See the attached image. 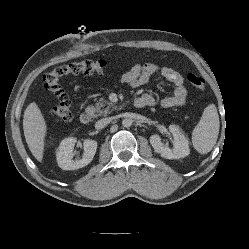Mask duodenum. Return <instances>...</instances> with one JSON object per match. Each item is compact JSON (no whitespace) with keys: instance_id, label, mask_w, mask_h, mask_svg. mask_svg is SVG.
Returning <instances> with one entry per match:
<instances>
[{"instance_id":"1","label":"duodenum","mask_w":249,"mask_h":249,"mask_svg":"<svg viewBox=\"0 0 249 249\" xmlns=\"http://www.w3.org/2000/svg\"><path fill=\"white\" fill-rule=\"evenodd\" d=\"M143 104H144V101L141 99H138L135 101V106L138 108H142L140 106ZM91 119H92V111H90V110H86V111L82 112L80 115V122L84 125L89 124Z\"/></svg>"}]
</instances>
